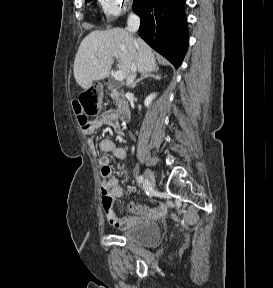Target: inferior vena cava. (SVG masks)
<instances>
[{"instance_id":"inferior-vena-cava-1","label":"inferior vena cava","mask_w":273,"mask_h":288,"mask_svg":"<svg viewBox=\"0 0 273 288\" xmlns=\"http://www.w3.org/2000/svg\"><path fill=\"white\" fill-rule=\"evenodd\" d=\"M140 25V19L135 14L131 13L127 20L128 31L134 33L138 30ZM137 66L135 63H132L130 73L127 76L126 84L130 86L133 84L134 79L136 78Z\"/></svg>"}]
</instances>
